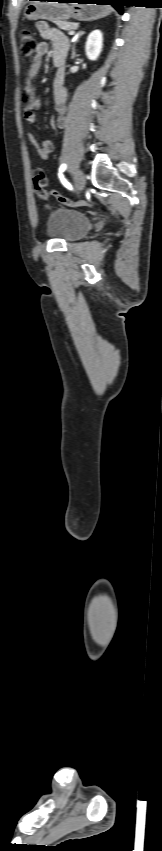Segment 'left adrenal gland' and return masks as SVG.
Here are the masks:
<instances>
[{
  "mask_svg": "<svg viewBox=\"0 0 162 851\" xmlns=\"http://www.w3.org/2000/svg\"><path fill=\"white\" fill-rule=\"evenodd\" d=\"M84 34H85V31H81V32L79 33V35H78V37H77V39H76L75 43H74V44H73V46H72V56H71V58H72V59L76 57L75 45H76V43L78 42V40L80 39V37H81L82 35H84Z\"/></svg>",
  "mask_w": 162,
  "mask_h": 851,
  "instance_id": "left-adrenal-gland-1",
  "label": "left adrenal gland"
}]
</instances>
